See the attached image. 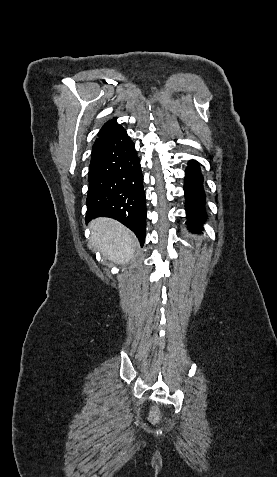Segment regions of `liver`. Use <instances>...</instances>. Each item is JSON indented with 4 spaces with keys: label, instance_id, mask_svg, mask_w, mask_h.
<instances>
[{
    "label": "liver",
    "instance_id": "liver-1",
    "mask_svg": "<svg viewBox=\"0 0 277 477\" xmlns=\"http://www.w3.org/2000/svg\"><path fill=\"white\" fill-rule=\"evenodd\" d=\"M90 244L104 257L126 264L135 253L136 237L124 225L111 218H97L89 223Z\"/></svg>",
    "mask_w": 277,
    "mask_h": 477
}]
</instances>
